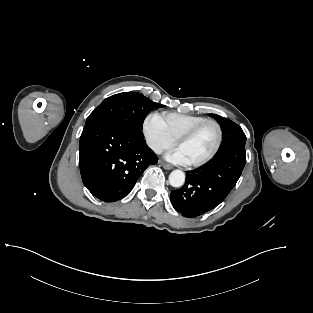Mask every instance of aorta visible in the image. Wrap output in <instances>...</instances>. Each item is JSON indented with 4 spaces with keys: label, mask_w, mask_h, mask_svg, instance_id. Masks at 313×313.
I'll list each match as a JSON object with an SVG mask.
<instances>
[{
    "label": "aorta",
    "mask_w": 313,
    "mask_h": 313,
    "mask_svg": "<svg viewBox=\"0 0 313 313\" xmlns=\"http://www.w3.org/2000/svg\"><path fill=\"white\" fill-rule=\"evenodd\" d=\"M185 182V173L181 170H174L169 175V183L173 187H181Z\"/></svg>",
    "instance_id": "obj_1"
}]
</instances>
